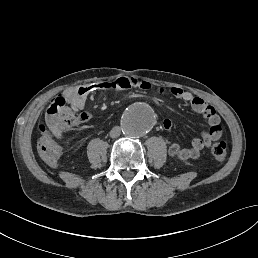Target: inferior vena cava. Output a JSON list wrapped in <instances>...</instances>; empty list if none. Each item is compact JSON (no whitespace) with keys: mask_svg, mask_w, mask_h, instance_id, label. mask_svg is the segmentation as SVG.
I'll list each match as a JSON object with an SVG mask.
<instances>
[{"mask_svg":"<svg viewBox=\"0 0 258 258\" xmlns=\"http://www.w3.org/2000/svg\"><path fill=\"white\" fill-rule=\"evenodd\" d=\"M121 134V127L119 126H115L112 128V130L110 131V136L112 138H116Z\"/></svg>","mask_w":258,"mask_h":258,"instance_id":"inferior-vena-cava-1","label":"inferior vena cava"}]
</instances>
